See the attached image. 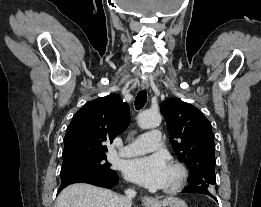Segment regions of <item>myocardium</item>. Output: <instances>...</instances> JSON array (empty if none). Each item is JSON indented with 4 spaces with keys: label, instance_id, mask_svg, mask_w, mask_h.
<instances>
[{
    "label": "myocardium",
    "instance_id": "1",
    "mask_svg": "<svg viewBox=\"0 0 261 207\" xmlns=\"http://www.w3.org/2000/svg\"><path fill=\"white\" fill-rule=\"evenodd\" d=\"M169 167L176 173V178L170 185L163 187L162 191L165 193H175L184 187L188 174L186 168L178 162L170 163Z\"/></svg>",
    "mask_w": 261,
    "mask_h": 207
}]
</instances>
